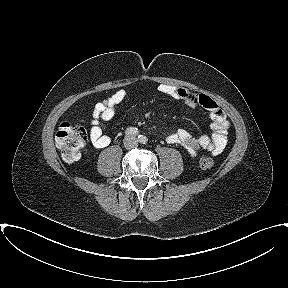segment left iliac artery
<instances>
[{
  "label": "left iliac artery",
  "instance_id": "left-iliac-artery-1",
  "mask_svg": "<svg viewBox=\"0 0 288 288\" xmlns=\"http://www.w3.org/2000/svg\"><path fill=\"white\" fill-rule=\"evenodd\" d=\"M138 139L142 144H146V142H147V138L143 135H139Z\"/></svg>",
  "mask_w": 288,
  "mask_h": 288
}]
</instances>
